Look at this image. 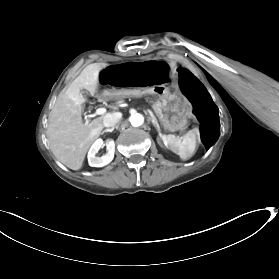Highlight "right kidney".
Segmentation results:
<instances>
[{"label": "right kidney", "instance_id": "right-kidney-1", "mask_svg": "<svg viewBox=\"0 0 279 279\" xmlns=\"http://www.w3.org/2000/svg\"><path fill=\"white\" fill-rule=\"evenodd\" d=\"M103 140L97 139L91 146L88 152V163L91 167H103L109 164L114 158L115 144L113 140L106 141L107 153L101 157H97L96 154L103 146Z\"/></svg>", "mask_w": 279, "mask_h": 279}]
</instances>
